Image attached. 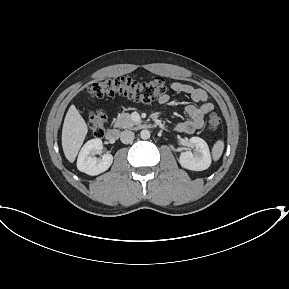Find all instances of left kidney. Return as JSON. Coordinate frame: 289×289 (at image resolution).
<instances>
[{
  "label": "left kidney",
  "instance_id": "5707ae66",
  "mask_svg": "<svg viewBox=\"0 0 289 289\" xmlns=\"http://www.w3.org/2000/svg\"><path fill=\"white\" fill-rule=\"evenodd\" d=\"M188 145L194 148V153L184 151L180 153L179 162L188 170L203 171L211 164V155L207 143L200 137H191Z\"/></svg>",
  "mask_w": 289,
  "mask_h": 289
}]
</instances>
